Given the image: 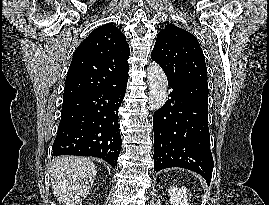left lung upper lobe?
Wrapping results in <instances>:
<instances>
[{"instance_id":"left-lung-upper-lobe-1","label":"left lung upper lobe","mask_w":269,"mask_h":205,"mask_svg":"<svg viewBox=\"0 0 269 205\" xmlns=\"http://www.w3.org/2000/svg\"><path fill=\"white\" fill-rule=\"evenodd\" d=\"M151 58L167 78L207 82L205 58L197 38L174 24L159 32Z\"/></svg>"}]
</instances>
